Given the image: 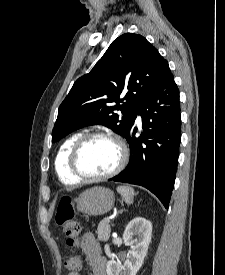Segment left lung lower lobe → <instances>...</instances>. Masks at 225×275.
Returning <instances> with one entry per match:
<instances>
[{"label":"left lung lower lobe","instance_id":"0a47b994","mask_svg":"<svg viewBox=\"0 0 225 275\" xmlns=\"http://www.w3.org/2000/svg\"><path fill=\"white\" fill-rule=\"evenodd\" d=\"M137 115L142 116L143 133L137 138V128H130L125 136L129 164L110 180L143 186L168 208L181 140L179 91L171 70L147 94Z\"/></svg>","mask_w":225,"mask_h":275}]
</instances>
